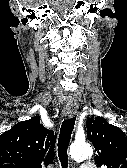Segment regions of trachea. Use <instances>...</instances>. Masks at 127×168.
I'll return each instance as SVG.
<instances>
[{"label": "trachea", "instance_id": "1", "mask_svg": "<svg viewBox=\"0 0 127 168\" xmlns=\"http://www.w3.org/2000/svg\"><path fill=\"white\" fill-rule=\"evenodd\" d=\"M76 117L63 121L58 138V157L62 168L68 167L67 149L74 129Z\"/></svg>", "mask_w": 127, "mask_h": 168}]
</instances>
